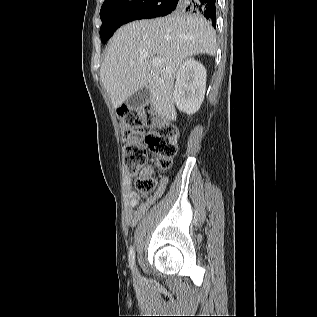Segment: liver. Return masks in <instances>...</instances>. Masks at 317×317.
<instances>
[{
    "mask_svg": "<svg viewBox=\"0 0 317 317\" xmlns=\"http://www.w3.org/2000/svg\"><path fill=\"white\" fill-rule=\"evenodd\" d=\"M217 51L215 30L199 15L171 14L134 21L119 28L105 49L100 79L112 105L119 108L141 88L148 87L158 116L175 121V75L184 59ZM154 58L161 60L153 67Z\"/></svg>",
    "mask_w": 317,
    "mask_h": 317,
    "instance_id": "liver-1",
    "label": "liver"
}]
</instances>
